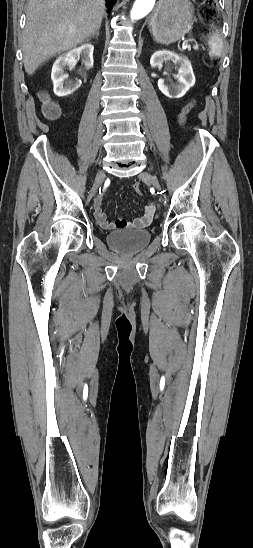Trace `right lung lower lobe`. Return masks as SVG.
<instances>
[{
  "instance_id": "obj_1",
  "label": "right lung lower lobe",
  "mask_w": 253,
  "mask_h": 548,
  "mask_svg": "<svg viewBox=\"0 0 253 548\" xmlns=\"http://www.w3.org/2000/svg\"><path fill=\"white\" fill-rule=\"evenodd\" d=\"M105 1L107 2V5H108L109 7H112L113 4H115V2H116V0H105Z\"/></svg>"
}]
</instances>
